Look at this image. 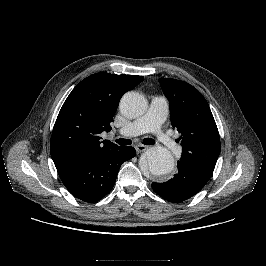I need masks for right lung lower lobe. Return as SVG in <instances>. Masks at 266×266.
<instances>
[{
    "label": "right lung lower lobe",
    "mask_w": 266,
    "mask_h": 266,
    "mask_svg": "<svg viewBox=\"0 0 266 266\" xmlns=\"http://www.w3.org/2000/svg\"><path fill=\"white\" fill-rule=\"evenodd\" d=\"M136 155L133 147H113L55 163L58 174L76 198L96 202L114 186L122 163Z\"/></svg>",
    "instance_id": "1"
}]
</instances>
